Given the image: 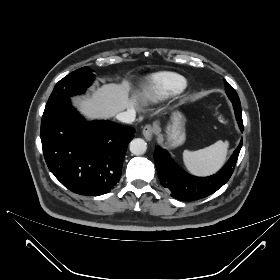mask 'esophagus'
Wrapping results in <instances>:
<instances>
[{
    "label": "esophagus",
    "mask_w": 280,
    "mask_h": 280,
    "mask_svg": "<svg viewBox=\"0 0 280 280\" xmlns=\"http://www.w3.org/2000/svg\"><path fill=\"white\" fill-rule=\"evenodd\" d=\"M142 133L144 135V137L150 141L154 134H155V128L152 126V125H146L143 130H142Z\"/></svg>",
    "instance_id": "esophagus-1"
}]
</instances>
